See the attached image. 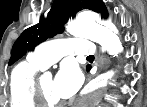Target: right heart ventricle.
<instances>
[{"label":"right heart ventricle","instance_id":"obj_1","mask_svg":"<svg viewBox=\"0 0 147 107\" xmlns=\"http://www.w3.org/2000/svg\"><path fill=\"white\" fill-rule=\"evenodd\" d=\"M43 69V66L27 59L12 70L9 83V99L12 107H37L33 101L32 91L36 73Z\"/></svg>","mask_w":147,"mask_h":107}]
</instances>
